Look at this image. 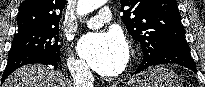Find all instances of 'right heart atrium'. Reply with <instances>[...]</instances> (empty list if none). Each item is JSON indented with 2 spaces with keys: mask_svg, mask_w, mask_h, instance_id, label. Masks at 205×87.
<instances>
[{
  "mask_svg": "<svg viewBox=\"0 0 205 87\" xmlns=\"http://www.w3.org/2000/svg\"><path fill=\"white\" fill-rule=\"evenodd\" d=\"M69 71L73 76H80L90 73L88 65L82 59L69 55L67 59Z\"/></svg>",
  "mask_w": 205,
  "mask_h": 87,
  "instance_id": "right-heart-atrium-1",
  "label": "right heart atrium"
}]
</instances>
